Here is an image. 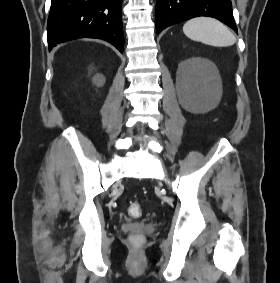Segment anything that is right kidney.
Returning <instances> with one entry per match:
<instances>
[{
    "label": "right kidney",
    "mask_w": 280,
    "mask_h": 283,
    "mask_svg": "<svg viewBox=\"0 0 280 283\" xmlns=\"http://www.w3.org/2000/svg\"><path fill=\"white\" fill-rule=\"evenodd\" d=\"M95 81L96 82H102V81H104V78L102 76H97V77H95Z\"/></svg>",
    "instance_id": "1"
}]
</instances>
